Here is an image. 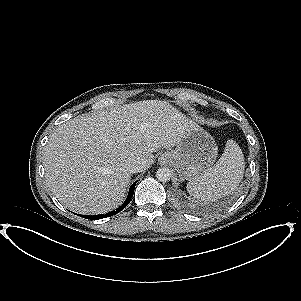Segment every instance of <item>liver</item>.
Returning a JSON list of instances; mask_svg holds the SVG:
<instances>
[{
    "label": "liver",
    "mask_w": 301,
    "mask_h": 301,
    "mask_svg": "<svg viewBox=\"0 0 301 301\" xmlns=\"http://www.w3.org/2000/svg\"><path fill=\"white\" fill-rule=\"evenodd\" d=\"M189 122L178 109L159 102L78 116L49 136L43 153L47 184L70 210L109 212L124 199L128 166L149 168L152 153L179 144Z\"/></svg>",
    "instance_id": "liver-1"
}]
</instances>
